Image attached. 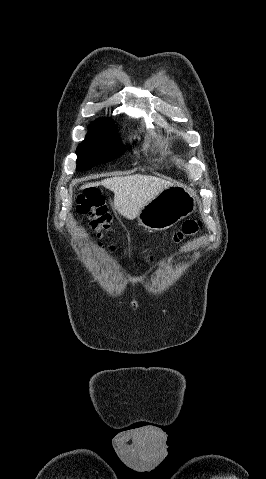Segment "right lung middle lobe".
Wrapping results in <instances>:
<instances>
[{"instance_id":"obj_1","label":"right lung middle lobe","mask_w":266,"mask_h":479,"mask_svg":"<svg viewBox=\"0 0 266 479\" xmlns=\"http://www.w3.org/2000/svg\"><path fill=\"white\" fill-rule=\"evenodd\" d=\"M123 149L113 123L96 121L90 125L86 139L77 147V169L87 170L109 162L122 154Z\"/></svg>"}]
</instances>
